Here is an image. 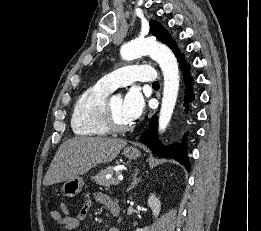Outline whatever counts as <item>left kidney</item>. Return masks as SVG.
Returning a JSON list of instances; mask_svg holds the SVG:
<instances>
[{
  "mask_svg": "<svg viewBox=\"0 0 261 231\" xmlns=\"http://www.w3.org/2000/svg\"><path fill=\"white\" fill-rule=\"evenodd\" d=\"M148 206L151 208L153 216L157 217L161 210V202H160L159 198L156 197L155 194L150 195V197L148 199ZM148 230H149V227L136 229V231H148Z\"/></svg>",
  "mask_w": 261,
  "mask_h": 231,
  "instance_id": "1",
  "label": "left kidney"
}]
</instances>
